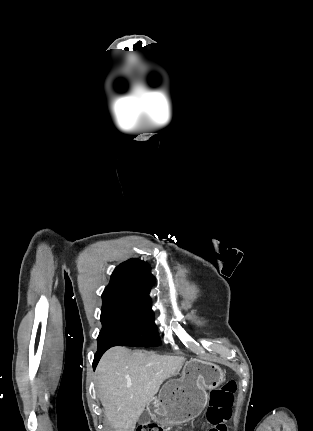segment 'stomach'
Instances as JSON below:
<instances>
[{
	"mask_svg": "<svg viewBox=\"0 0 313 431\" xmlns=\"http://www.w3.org/2000/svg\"><path fill=\"white\" fill-rule=\"evenodd\" d=\"M224 381L225 374L216 364L197 358L189 360L181 377L166 382L158 398L151 402L153 419L161 425H179L196 418L207 404L206 391Z\"/></svg>",
	"mask_w": 313,
	"mask_h": 431,
	"instance_id": "stomach-1",
	"label": "stomach"
}]
</instances>
